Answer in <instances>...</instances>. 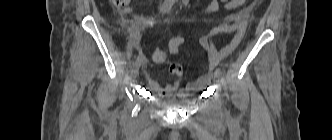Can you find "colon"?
Returning a JSON list of instances; mask_svg holds the SVG:
<instances>
[{"instance_id":"5ec220e1","label":"colon","mask_w":332,"mask_h":140,"mask_svg":"<svg viewBox=\"0 0 332 140\" xmlns=\"http://www.w3.org/2000/svg\"><path fill=\"white\" fill-rule=\"evenodd\" d=\"M263 0H253L251 8L257 4H260ZM110 2L118 9L122 11H129L131 0H110ZM153 57L156 62H163L165 60L166 54L162 49H157L153 53Z\"/></svg>"}]
</instances>
